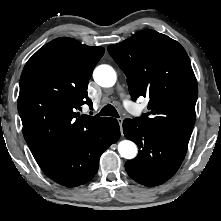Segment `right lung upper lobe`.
<instances>
[{"label": "right lung upper lobe", "mask_w": 221, "mask_h": 221, "mask_svg": "<svg viewBox=\"0 0 221 221\" xmlns=\"http://www.w3.org/2000/svg\"><path fill=\"white\" fill-rule=\"evenodd\" d=\"M105 52L75 39L57 38L39 49L20 77L18 111L23 134L40 167L89 134L101 117L76 113L92 106L87 86Z\"/></svg>", "instance_id": "right-lung-upper-lobe-1"}]
</instances>
